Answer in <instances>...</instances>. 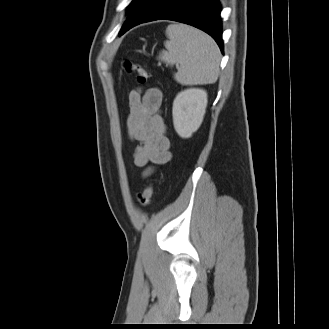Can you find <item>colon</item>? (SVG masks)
Returning a JSON list of instances; mask_svg holds the SVG:
<instances>
[{
  "mask_svg": "<svg viewBox=\"0 0 329 329\" xmlns=\"http://www.w3.org/2000/svg\"><path fill=\"white\" fill-rule=\"evenodd\" d=\"M124 68L130 74L136 76L137 81L145 84L149 79V72L141 65L132 63L131 61L124 62ZM154 194V186L149 184L143 191L139 192L137 197L141 206L145 207L150 204L151 198Z\"/></svg>",
  "mask_w": 329,
  "mask_h": 329,
  "instance_id": "5ec220e1",
  "label": "colon"
}]
</instances>
